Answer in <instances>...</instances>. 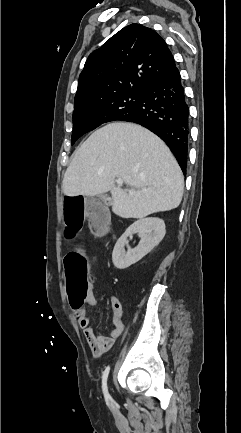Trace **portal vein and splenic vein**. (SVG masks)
Returning a JSON list of instances; mask_svg holds the SVG:
<instances>
[{
	"instance_id": "obj_1",
	"label": "portal vein and splenic vein",
	"mask_w": 241,
	"mask_h": 433,
	"mask_svg": "<svg viewBox=\"0 0 241 433\" xmlns=\"http://www.w3.org/2000/svg\"><path fill=\"white\" fill-rule=\"evenodd\" d=\"M116 183H117L119 186H122V185H123V179L118 178V179L116 180ZM128 192H129L130 194L135 193V191H133V190H128Z\"/></svg>"
}]
</instances>
